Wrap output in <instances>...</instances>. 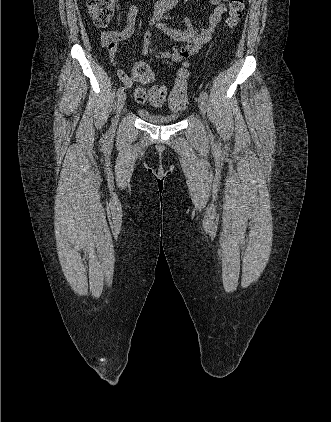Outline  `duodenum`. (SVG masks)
Wrapping results in <instances>:
<instances>
[{"label":"duodenum","instance_id":"duodenum-1","mask_svg":"<svg viewBox=\"0 0 331 422\" xmlns=\"http://www.w3.org/2000/svg\"><path fill=\"white\" fill-rule=\"evenodd\" d=\"M163 1L167 9L172 8L178 2V0H163Z\"/></svg>","mask_w":331,"mask_h":422}]
</instances>
